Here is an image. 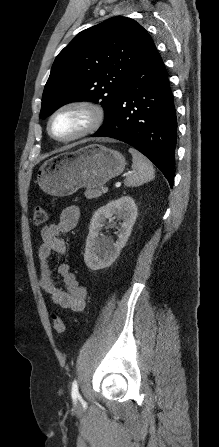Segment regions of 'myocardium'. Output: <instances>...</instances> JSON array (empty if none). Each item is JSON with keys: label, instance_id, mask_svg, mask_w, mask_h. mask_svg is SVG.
Returning <instances> with one entry per match:
<instances>
[{"label": "myocardium", "instance_id": "obj_1", "mask_svg": "<svg viewBox=\"0 0 219 447\" xmlns=\"http://www.w3.org/2000/svg\"><path fill=\"white\" fill-rule=\"evenodd\" d=\"M67 111L83 112L88 119L87 123L81 130L71 136L57 137L52 132V122L58 115ZM104 121L105 112L100 105L86 100H74L62 104L51 113L47 121V132L56 141L72 142L95 133L103 125Z\"/></svg>", "mask_w": 219, "mask_h": 447}]
</instances>
